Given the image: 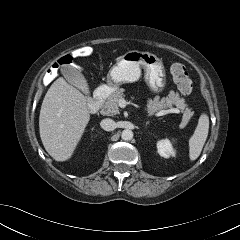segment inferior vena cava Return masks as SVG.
Segmentation results:
<instances>
[{"label":"inferior vena cava","instance_id":"obj_1","mask_svg":"<svg viewBox=\"0 0 240 240\" xmlns=\"http://www.w3.org/2000/svg\"><path fill=\"white\" fill-rule=\"evenodd\" d=\"M105 131H113L116 128V123L110 118L103 119L100 123Z\"/></svg>","mask_w":240,"mask_h":240}]
</instances>
